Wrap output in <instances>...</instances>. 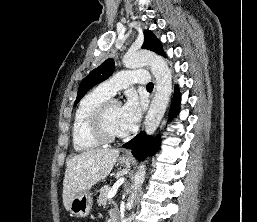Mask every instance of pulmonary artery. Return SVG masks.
Wrapping results in <instances>:
<instances>
[{"mask_svg":"<svg viewBox=\"0 0 257 222\" xmlns=\"http://www.w3.org/2000/svg\"><path fill=\"white\" fill-rule=\"evenodd\" d=\"M148 81L149 74L147 71H120L110 79L102 82L99 89L107 95L113 96L118 90L131 84H146Z\"/></svg>","mask_w":257,"mask_h":222,"instance_id":"pulmonary-artery-1","label":"pulmonary artery"}]
</instances>
